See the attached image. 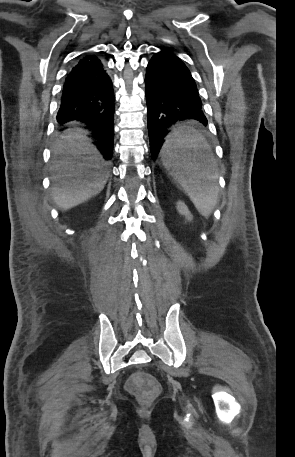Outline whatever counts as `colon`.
Masks as SVG:
<instances>
[{
	"label": "colon",
	"mask_w": 295,
	"mask_h": 457,
	"mask_svg": "<svg viewBox=\"0 0 295 457\" xmlns=\"http://www.w3.org/2000/svg\"><path fill=\"white\" fill-rule=\"evenodd\" d=\"M128 387L136 392L144 399H149L158 391L155 374H131Z\"/></svg>",
	"instance_id": "colon-1"
}]
</instances>
